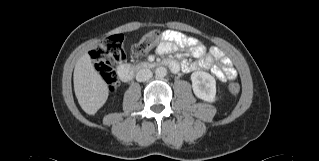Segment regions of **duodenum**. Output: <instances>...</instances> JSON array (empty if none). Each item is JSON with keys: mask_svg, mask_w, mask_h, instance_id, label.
<instances>
[{"mask_svg": "<svg viewBox=\"0 0 319 161\" xmlns=\"http://www.w3.org/2000/svg\"><path fill=\"white\" fill-rule=\"evenodd\" d=\"M160 65L168 67L173 73H176L179 70V65L175 60H165L162 63L156 61H148L138 63L134 66H130L127 64L120 65L118 67V76L122 82H128L133 78L135 72L140 70H150Z\"/></svg>", "mask_w": 319, "mask_h": 161, "instance_id": "1", "label": "duodenum"}]
</instances>
